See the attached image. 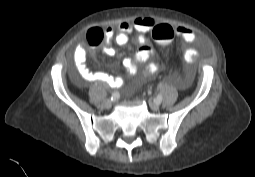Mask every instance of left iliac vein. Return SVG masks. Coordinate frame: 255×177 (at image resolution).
Masks as SVG:
<instances>
[{
	"label": "left iliac vein",
	"instance_id": "4c4485c4",
	"mask_svg": "<svg viewBox=\"0 0 255 177\" xmlns=\"http://www.w3.org/2000/svg\"><path fill=\"white\" fill-rule=\"evenodd\" d=\"M149 106L153 111H157L160 108V104L155 101H149Z\"/></svg>",
	"mask_w": 255,
	"mask_h": 177
}]
</instances>
